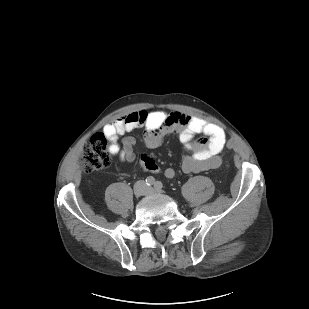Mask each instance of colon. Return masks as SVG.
<instances>
[{"label":"colon","mask_w":309,"mask_h":309,"mask_svg":"<svg viewBox=\"0 0 309 309\" xmlns=\"http://www.w3.org/2000/svg\"><path fill=\"white\" fill-rule=\"evenodd\" d=\"M227 148L233 147V142L226 144ZM111 163V154L104 134L95 135L86 143L81 151V168L86 173L95 172L108 167Z\"/></svg>","instance_id":"colon-1"}]
</instances>
